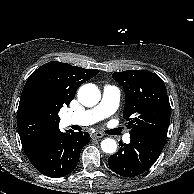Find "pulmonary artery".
<instances>
[{"instance_id": "obj_1", "label": "pulmonary artery", "mask_w": 194, "mask_h": 194, "mask_svg": "<svg viewBox=\"0 0 194 194\" xmlns=\"http://www.w3.org/2000/svg\"><path fill=\"white\" fill-rule=\"evenodd\" d=\"M120 92L117 87L107 85L103 89V94L100 103L87 110L80 112H70L65 114L64 121L67 125H91L110 115H112L119 104ZM124 142H130V135L124 136Z\"/></svg>"}]
</instances>
